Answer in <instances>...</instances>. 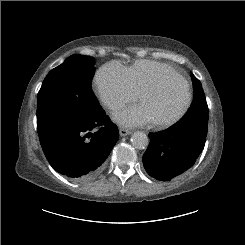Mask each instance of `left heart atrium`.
Masks as SVG:
<instances>
[{
    "instance_id": "left-heart-atrium-1",
    "label": "left heart atrium",
    "mask_w": 245,
    "mask_h": 245,
    "mask_svg": "<svg viewBox=\"0 0 245 245\" xmlns=\"http://www.w3.org/2000/svg\"><path fill=\"white\" fill-rule=\"evenodd\" d=\"M114 121L127 128L140 127L153 122L147 109L141 103L115 114Z\"/></svg>"
}]
</instances>
